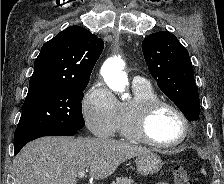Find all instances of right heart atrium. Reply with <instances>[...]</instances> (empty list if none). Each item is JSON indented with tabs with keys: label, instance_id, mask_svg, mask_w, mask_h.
I'll return each mask as SVG.
<instances>
[{
	"label": "right heart atrium",
	"instance_id": "obj_1",
	"mask_svg": "<svg viewBox=\"0 0 224 184\" xmlns=\"http://www.w3.org/2000/svg\"><path fill=\"white\" fill-rule=\"evenodd\" d=\"M82 115L94 135L109 137L116 131L119 102L103 82L96 81L83 98Z\"/></svg>",
	"mask_w": 224,
	"mask_h": 184
}]
</instances>
